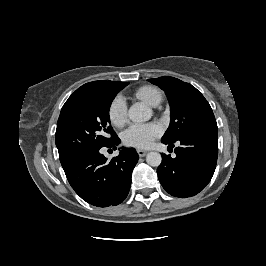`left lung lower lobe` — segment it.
I'll use <instances>...</instances> for the list:
<instances>
[{
	"mask_svg": "<svg viewBox=\"0 0 266 266\" xmlns=\"http://www.w3.org/2000/svg\"><path fill=\"white\" fill-rule=\"evenodd\" d=\"M173 147V143L162 141ZM175 158L163 154L157 174L163 188L175 197H191L210 182L218 157V129L198 130L178 140Z\"/></svg>",
	"mask_w": 266,
	"mask_h": 266,
	"instance_id": "obj_1",
	"label": "left lung lower lobe"
}]
</instances>
